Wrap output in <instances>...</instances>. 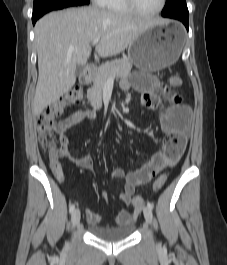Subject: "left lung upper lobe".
Here are the masks:
<instances>
[{"instance_id": "obj_1", "label": "left lung upper lobe", "mask_w": 227, "mask_h": 265, "mask_svg": "<svg viewBox=\"0 0 227 265\" xmlns=\"http://www.w3.org/2000/svg\"><path fill=\"white\" fill-rule=\"evenodd\" d=\"M162 16L169 18L189 17L185 0H167Z\"/></svg>"}]
</instances>
